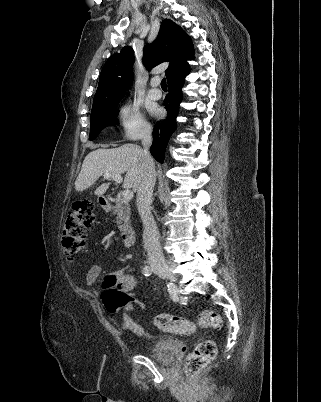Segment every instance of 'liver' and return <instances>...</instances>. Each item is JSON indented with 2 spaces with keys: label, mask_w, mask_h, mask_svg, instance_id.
Instances as JSON below:
<instances>
[{
  "label": "liver",
  "mask_w": 321,
  "mask_h": 402,
  "mask_svg": "<svg viewBox=\"0 0 321 402\" xmlns=\"http://www.w3.org/2000/svg\"><path fill=\"white\" fill-rule=\"evenodd\" d=\"M143 149L135 144H124L118 148H98L84 159L81 171L75 181V189L82 192L99 179L104 173H125L123 188L138 190L143 176ZM109 183L99 186L95 195H103Z\"/></svg>",
  "instance_id": "obj_1"
}]
</instances>
